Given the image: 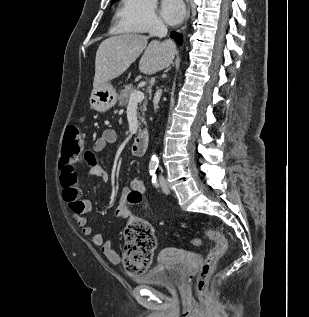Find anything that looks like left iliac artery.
<instances>
[{"label":"left iliac artery","mask_w":309,"mask_h":317,"mask_svg":"<svg viewBox=\"0 0 309 317\" xmlns=\"http://www.w3.org/2000/svg\"><path fill=\"white\" fill-rule=\"evenodd\" d=\"M152 183L155 185V187H158V183H157V177H156V175H153V178H152Z\"/></svg>","instance_id":"44dca946"}]
</instances>
